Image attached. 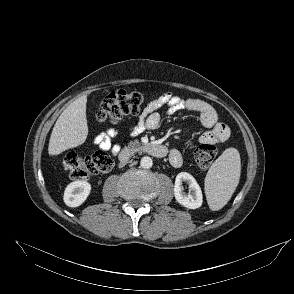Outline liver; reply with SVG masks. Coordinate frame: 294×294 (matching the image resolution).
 Masks as SVG:
<instances>
[{"instance_id":"obj_1","label":"liver","mask_w":294,"mask_h":294,"mask_svg":"<svg viewBox=\"0 0 294 294\" xmlns=\"http://www.w3.org/2000/svg\"><path fill=\"white\" fill-rule=\"evenodd\" d=\"M86 102L87 96H81L61 113L51 133L49 155H59L85 142L88 135Z\"/></svg>"}]
</instances>
